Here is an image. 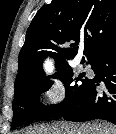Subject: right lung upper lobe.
<instances>
[{"label": "right lung upper lobe", "mask_w": 116, "mask_h": 134, "mask_svg": "<svg viewBox=\"0 0 116 134\" xmlns=\"http://www.w3.org/2000/svg\"><path fill=\"white\" fill-rule=\"evenodd\" d=\"M79 42L88 62L116 43V1L52 0L39 9L19 53L15 95L47 78L42 62L48 55L55 59L58 71L67 67L66 60L76 56Z\"/></svg>", "instance_id": "obj_1"}]
</instances>
